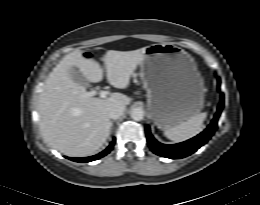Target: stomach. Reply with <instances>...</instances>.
<instances>
[{"label":"stomach","mask_w":260,"mask_h":205,"mask_svg":"<svg viewBox=\"0 0 260 205\" xmlns=\"http://www.w3.org/2000/svg\"><path fill=\"white\" fill-rule=\"evenodd\" d=\"M140 77L147 91L149 117L159 129H170L204 107V79L194 58L172 43L146 47Z\"/></svg>","instance_id":"obj_1"}]
</instances>
